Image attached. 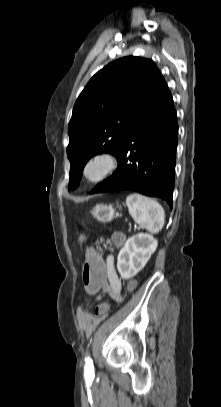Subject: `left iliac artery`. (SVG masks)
Segmentation results:
<instances>
[{
    "instance_id": "obj_1",
    "label": "left iliac artery",
    "mask_w": 221,
    "mask_h": 407,
    "mask_svg": "<svg viewBox=\"0 0 221 407\" xmlns=\"http://www.w3.org/2000/svg\"><path fill=\"white\" fill-rule=\"evenodd\" d=\"M85 367H84V372H85V378H92L94 377V366H93V361L92 359L87 356L85 358Z\"/></svg>"
}]
</instances>
